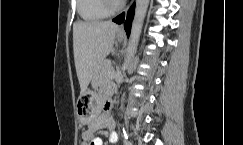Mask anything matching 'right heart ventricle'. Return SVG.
<instances>
[{
	"mask_svg": "<svg viewBox=\"0 0 243 145\" xmlns=\"http://www.w3.org/2000/svg\"><path fill=\"white\" fill-rule=\"evenodd\" d=\"M79 17L85 22H97L109 16L102 0H76Z\"/></svg>",
	"mask_w": 243,
	"mask_h": 145,
	"instance_id": "1",
	"label": "right heart ventricle"
}]
</instances>
